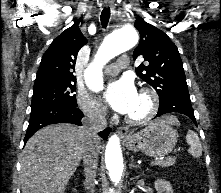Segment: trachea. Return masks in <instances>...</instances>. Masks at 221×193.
<instances>
[{
	"label": "trachea",
	"instance_id": "trachea-1",
	"mask_svg": "<svg viewBox=\"0 0 221 193\" xmlns=\"http://www.w3.org/2000/svg\"><path fill=\"white\" fill-rule=\"evenodd\" d=\"M110 18V8L109 7H104V9L101 12V24L104 28L107 27L108 21Z\"/></svg>",
	"mask_w": 221,
	"mask_h": 193
}]
</instances>
